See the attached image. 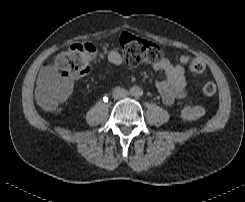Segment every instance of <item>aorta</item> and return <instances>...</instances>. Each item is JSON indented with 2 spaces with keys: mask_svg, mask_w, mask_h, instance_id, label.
<instances>
[{
  "mask_svg": "<svg viewBox=\"0 0 245 202\" xmlns=\"http://www.w3.org/2000/svg\"><path fill=\"white\" fill-rule=\"evenodd\" d=\"M131 93H132L133 96L138 97V96L142 95L143 91H142V89L140 87H133L131 89Z\"/></svg>",
  "mask_w": 245,
  "mask_h": 202,
  "instance_id": "aorta-1",
  "label": "aorta"
}]
</instances>
